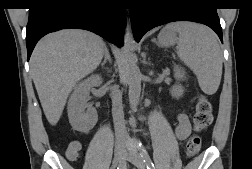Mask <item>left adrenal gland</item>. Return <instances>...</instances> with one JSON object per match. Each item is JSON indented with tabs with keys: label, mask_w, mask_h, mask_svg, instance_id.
Returning a JSON list of instances; mask_svg holds the SVG:
<instances>
[{
	"label": "left adrenal gland",
	"mask_w": 252,
	"mask_h": 169,
	"mask_svg": "<svg viewBox=\"0 0 252 169\" xmlns=\"http://www.w3.org/2000/svg\"><path fill=\"white\" fill-rule=\"evenodd\" d=\"M152 41L156 43V40H155V39H153Z\"/></svg>",
	"instance_id": "obj_1"
}]
</instances>
